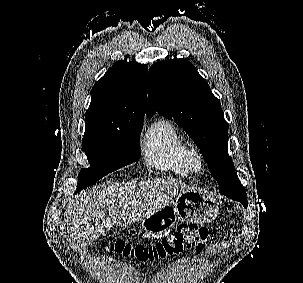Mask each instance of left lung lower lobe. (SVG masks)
<instances>
[{
  "instance_id": "1",
  "label": "left lung lower lobe",
  "mask_w": 303,
  "mask_h": 283,
  "mask_svg": "<svg viewBox=\"0 0 303 283\" xmlns=\"http://www.w3.org/2000/svg\"><path fill=\"white\" fill-rule=\"evenodd\" d=\"M221 194L233 199V200H236V201H239L241 202V204L246 208L247 205H248V202H247V199H246V196H244L243 194H240L238 192H222Z\"/></svg>"
}]
</instances>
